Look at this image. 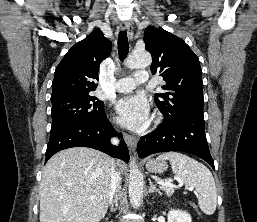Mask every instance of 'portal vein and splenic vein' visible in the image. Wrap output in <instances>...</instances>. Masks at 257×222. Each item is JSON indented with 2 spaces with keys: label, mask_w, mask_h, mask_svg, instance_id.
Instances as JSON below:
<instances>
[{
  "label": "portal vein and splenic vein",
  "mask_w": 257,
  "mask_h": 222,
  "mask_svg": "<svg viewBox=\"0 0 257 222\" xmlns=\"http://www.w3.org/2000/svg\"><path fill=\"white\" fill-rule=\"evenodd\" d=\"M158 184L162 185V186H166V187H169V188H177L179 186H175L173 185L172 183H170L169 181H157ZM189 190H192L191 188H189ZM90 199H94V196H90Z\"/></svg>",
  "instance_id": "1"
}]
</instances>
